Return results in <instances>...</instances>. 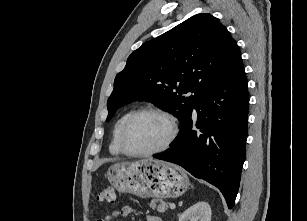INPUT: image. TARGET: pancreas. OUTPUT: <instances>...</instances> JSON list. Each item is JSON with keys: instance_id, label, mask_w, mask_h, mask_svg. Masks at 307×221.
<instances>
[{"instance_id": "obj_1", "label": "pancreas", "mask_w": 307, "mask_h": 221, "mask_svg": "<svg viewBox=\"0 0 307 221\" xmlns=\"http://www.w3.org/2000/svg\"><path fill=\"white\" fill-rule=\"evenodd\" d=\"M158 203V205H157ZM150 207L153 209V210H157L158 212H165L167 210V207H168V203L163 201V200H159V201H152L151 204H150Z\"/></svg>"}]
</instances>
